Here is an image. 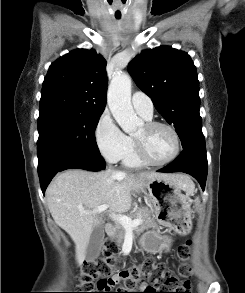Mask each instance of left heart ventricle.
I'll return each instance as SVG.
<instances>
[{
	"mask_svg": "<svg viewBox=\"0 0 245 293\" xmlns=\"http://www.w3.org/2000/svg\"><path fill=\"white\" fill-rule=\"evenodd\" d=\"M134 138L142 144L146 155L153 161H163L174 151L173 135L162 127L149 129L143 125L134 134Z\"/></svg>",
	"mask_w": 245,
	"mask_h": 293,
	"instance_id": "left-heart-ventricle-1",
	"label": "left heart ventricle"
}]
</instances>
